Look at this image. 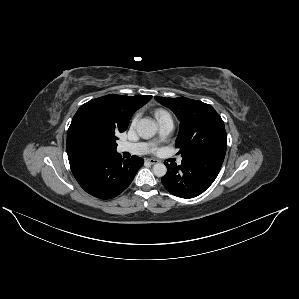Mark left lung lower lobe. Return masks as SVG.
Instances as JSON below:
<instances>
[{"label": "left lung lower lobe", "mask_w": 299, "mask_h": 299, "mask_svg": "<svg viewBox=\"0 0 299 299\" xmlns=\"http://www.w3.org/2000/svg\"><path fill=\"white\" fill-rule=\"evenodd\" d=\"M226 151H199L182 158L181 165L168 164L162 177L164 187L173 195L193 198L203 193L216 179Z\"/></svg>", "instance_id": "1"}]
</instances>
